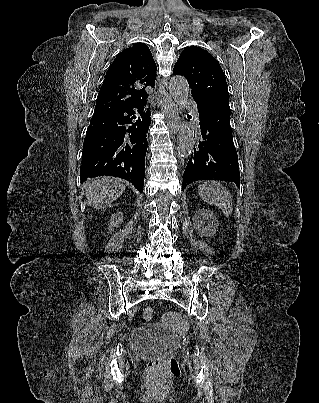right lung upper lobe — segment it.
Returning <instances> with one entry per match:
<instances>
[{"instance_id": "1", "label": "right lung upper lobe", "mask_w": 319, "mask_h": 403, "mask_svg": "<svg viewBox=\"0 0 319 403\" xmlns=\"http://www.w3.org/2000/svg\"><path fill=\"white\" fill-rule=\"evenodd\" d=\"M156 69L147 45L139 43L124 49L106 73L94 113L122 110L146 102L145 87H154ZM140 85L145 87L139 88Z\"/></svg>"}]
</instances>
